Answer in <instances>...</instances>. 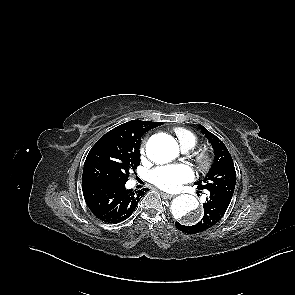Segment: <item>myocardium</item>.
Segmentation results:
<instances>
[{
  "instance_id": "obj_1",
  "label": "myocardium",
  "mask_w": 295,
  "mask_h": 295,
  "mask_svg": "<svg viewBox=\"0 0 295 295\" xmlns=\"http://www.w3.org/2000/svg\"><path fill=\"white\" fill-rule=\"evenodd\" d=\"M192 160L201 171H207L212 164V156L207 149L200 148L193 152Z\"/></svg>"
}]
</instances>
